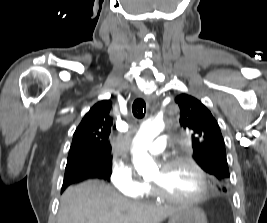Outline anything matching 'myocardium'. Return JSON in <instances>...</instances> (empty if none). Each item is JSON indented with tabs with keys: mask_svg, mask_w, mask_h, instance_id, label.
Returning <instances> with one entry per match:
<instances>
[{
	"mask_svg": "<svg viewBox=\"0 0 267 223\" xmlns=\"http://www.w3.org/2000/svg\"><path fill=\"white\" fill-rule=\"evenodd\" d=\"M178 165H188L197 172L202 182V190L200 194L189 199L178 198L163 192L158 185L150 182L149 187L153 196L161 201L181 205H196L203 202L209 193L208 176L205 170L196 161L189 157H175L167 159L160 165V168L168 170Z\"/></svg>",
	"mask_w": 267,
	"mask_h": 223,
	"instance_id": "obj_1",
	"label": "myocardium"
}]
</instances>
